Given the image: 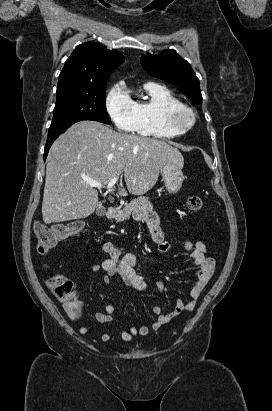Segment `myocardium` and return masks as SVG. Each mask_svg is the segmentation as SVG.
<instances>
[{"instance_id": "obj_1", "label": "myocardium", "mask_w": 272, "mask_h": 411, "mask_svg": "<svg viewBox=\"0 0 272 411\" xmlns=\"http://www.w3.org/2000/svg\"><path fill=\"white\" fill-rule=\"evenodd\" d=\"M184 118H186L185 121ZM163 122L171 133L179 136L193 128L196 122V116L193 110L186 105H174L164 110Z\"/></svg>"}]
</instances>
